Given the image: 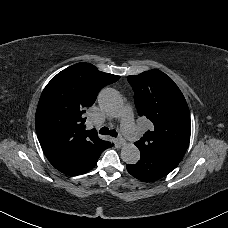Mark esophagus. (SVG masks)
Instances as JSON below:
<instances>
[{
    "label": "esophagus",
    "mask_w": 228,
    "mask_h": 228,
    "mask_svg": "<svg viewBox=\"0 0 228 228\" xmlns=\"http://www.w3.org/2000/svg\"><path fill=\"white\" fill-rule=\"evenodd\" d=\"M117 143H118V145L122 146V145H124L126 143V141L123 139L122 136H119L118 140H117Z\"/></svg>",
    "instance_id": "esophagus-1"
}]
</instances>
